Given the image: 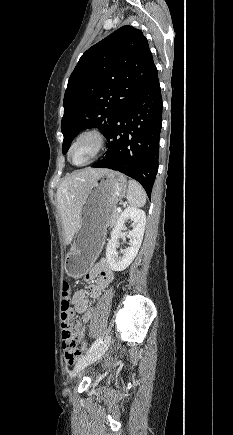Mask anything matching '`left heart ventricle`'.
<instances>
[{
  "label": "left heart ventricle",
  "instance_id": "left-heart-ventricle-1",
  "mask_svg": "<svg viewBox=\"0 0 233 435\" xmlns=\"http://www.w3.org/2000/svg\"><path fill=\"white\" fill-rule=\"evenodd\" d=\"M92 150V143L87 141L82 142L73 148L70 159L75 164L83 163L90 157Z\"/></svg>",
  "mask_w": 233,
  "mask_h": 435
}]
</instances>
